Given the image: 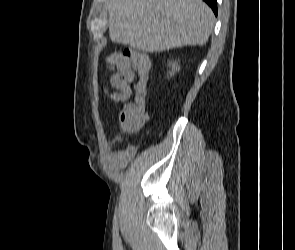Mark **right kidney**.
Returning <instances> with one entry per match:
<instances>
[{"instance_id": "obj_1", "label": "right kidney", "mask_w": 295, "mask_h": 250, "mask_svg": "<svg viewBox=\"0 0 295 250\" xmlns=\"http://www.w3.org/2000/svg\"><path fill=\"white\" fill-rule=\"evenodd\" d=\"M170 67H171V71H169V75L170 77L173 76L175 74L176 71H179L180 66L178 65V63H169Z\"/></svg>"}]
</instances>
